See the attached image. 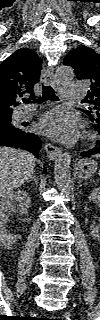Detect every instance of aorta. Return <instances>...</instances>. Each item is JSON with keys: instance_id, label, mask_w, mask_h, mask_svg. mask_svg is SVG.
<instances>
[{"instance_id": "obj_1", "label": "aorta", "mask_w": 100, "mask_h": 320, "mask_svg": "<svg viewBox=\"0 0 100 320\" xmlns=\"http://www.w3.org/2000/svg\"><path fill=\"white\" fill-rule=\"evenodd\" d=\"M57 81L61 83L70 82L74 78V70L70 66H60L55 73ZM71 155L68 152L62 153L54 165V179L60 191H68L71 187L70 172Z\"/></svg>"}]
</instances>
